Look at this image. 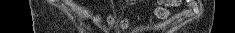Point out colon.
<instances>
[{"label":"colon","instance_id":"colon-1","mask_svg":"<svg viewBox=\"0 0 235 33\" xmlns=\"http://www.w3.org/2000/svg\"><path fill=\"white\" fill-rule=\"evenodd\" d=\"M178 2V0L160 1L161 6L156 9V17L160 20L166 19L169 16L168 7L175 6L178 4ZM122 25L125 26L126 23L122 22Z\"/></svg>","mask_w":235,"mask_h":33}]
</instances>
